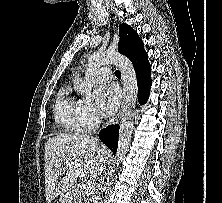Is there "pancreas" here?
I'll use <instances>...</instances> for the list:
<instances>
[{"mask_svg": "<svg viewBox=\"0 0 222 203\" xmlns=\"http://www.w3.org/2000/svg\"><path fill=\"white\" fill-rule=\"evenodd\" d=\"M75 196L77 202L75 203H92L94 202L95 199V193L92 191L86 192L83 188L82 185L78 186L76 191H75Z\"/></svg>", "mask_w": 222, "mask_h": 203, "instance_id": "1", "label": "pancreas"}]
</instances>
